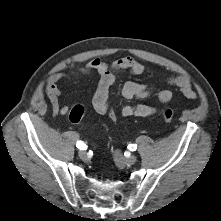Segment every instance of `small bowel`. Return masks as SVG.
I'll use <instances>...</instances> for the list:
<instances>
[{
    "label": "small bowel",
    "instance_id": "obj_1",
    "mask_svg": "<svg viewBox=\"0 0 221 221\" xmlns=\"http://www.w3.org/2000/svg\"><path fill=\"white\" fill-rule=\"evenodd\" d=\"M120 71H128L132 75H141L145 71V66L131 56L122 57L112 64H108L99 58H94L71 75L62 73L52 75L46 84L45 91L51 102L53 115L67 116L69 113V107L60 104L59 97L61 91L57 83L62 80H69L92 73H96L99 77L93 96V107L99 114H108L105 107L109 103L110 89L115 82L116 73ZM168 84L186 98L193 99L196 96L191 84L184 76L170 78ZM121 94L128 99L146 98L149 95V89L145 84L129 81L123 84ZM172 98L173 92L169 89H163L158 93V100L161 105L168 104ZM157 110V107L145 104L126 105L121 108V114L124 117H148L154 115Z\"/></svg>",
    "mask_w": 221,
    "mask_h": 221
}]
</instances>
